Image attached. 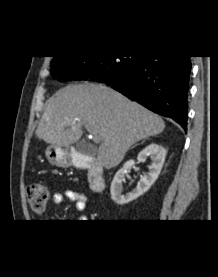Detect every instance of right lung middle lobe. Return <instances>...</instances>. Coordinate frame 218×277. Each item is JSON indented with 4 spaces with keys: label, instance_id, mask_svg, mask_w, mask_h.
I'll use <instances>...</instances> for the list:
<instances>
[{
    "label": "right lung middle lobe",
    "instance_id": "right-lung-middle-lobe-1",
    "mask_svg": "<svg viewBox=\"0 0 218 277\" xmlns=\"http://www.w3.org/2000/svg\"><path fill=\"white\" fill-rule=\"evenodd\" d=\"M142 56H59L51 62V74L61 81L70 79L122 80Z\"/></svg>",
    "mask_w": 218,
    "mask_h": 277
}]
</instances>
